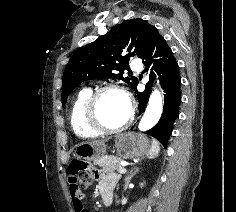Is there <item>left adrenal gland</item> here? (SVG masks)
<instances>
[{"label": "left adrenal gland", "mask_w": 236, "mask_h": 212, "mask_svg": "<svg viewBox=\"0 0 236 212\" xmlns=\"http://www.w3.org/2000/svg\"><path fill=\"white\" fill-rule=\"evenodd\" d=\"M138 171H139V169L136 168V169L134 170V172L131 171L130 174L125 177L124 190L127 189V186H128V184H129L130 180L132 179V177H133L134 175H136V173H137Z\"/></svg>", "instance_id": "a2214340"}]
</instances>
